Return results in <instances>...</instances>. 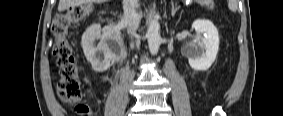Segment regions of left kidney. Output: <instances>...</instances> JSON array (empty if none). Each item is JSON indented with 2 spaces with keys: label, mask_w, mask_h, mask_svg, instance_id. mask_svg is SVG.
I'll list each match as a JSON object with an SVG mask.
<instances>
[{
  "label": "left kidney",
  "mask_w": 283,
  "mask_h": 116,
  "mask_svg": "<svg viewBox=\"0 0 283 116\" xmlns=\"http://www.w3.org/2000/svg\"><path fill=\"white\" fill-rule=\"evenodd\" d=\"M192 28L195 29L197 35L203 34V37L188 45L186 57L194 70L206 71L211 67L218 53V30L211 21L206 19L195 20Z\"/></svg>",
  "instance_id": "left-kidney-1"
}]
</instances>
